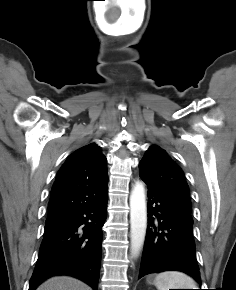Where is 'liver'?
Wrapping results in <instances>:
<instances>
[{
  "instance_id": "6515ba94",
  "label": "liver",
  "mask_w": 236,
  "mask_h": 290,
  "mask_svg": "<svg viewBox=\"0 0 236 290\" xmlns=\"http://www.w3.org/2000/svg\"><path fill=\"white\" fill-rule=\"evenodd\" d=\"M37 290H91L85 283L68 276L52 277L42 283Z\"/></svg>"
}]
</instances>
